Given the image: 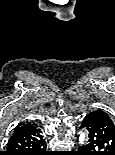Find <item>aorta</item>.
Segmentation results:
<instances>
[{
	"instance_id": "obj_1",
	"label": "aorta",
	"mask_w": 115,
	"mask_h": 155,
	"mask_svg": "<svg viewBox=\"0 0 115 155\" xmlns=\"http://www.w3.org/2000/svg\"><path fill=\"white\" fill-rule=\"evenodd\" d=\"M85 137H86V136H85V133H84V132H81V133L79 134V143H80V144H84V142H85V140H86Z\"/></svg>"
}]
</instances>
